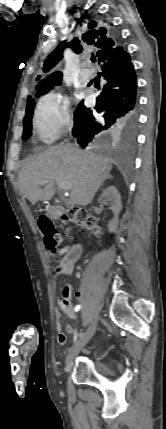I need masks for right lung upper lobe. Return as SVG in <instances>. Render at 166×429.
I'll use <instances>...</instances> for the list:
<instances>
[{"label": "right lung upper lobe", "mask_w": 166, "mask_h": 429, "mask_svg": "<svg viewBox=\"0 0 166 429\" xmlns=\"http://www.w3.org/2000/svg\"><path fill=\"white\" fill-rule=\"evenodd\" d=\"M93 28V27H92ZM82 35V40L88 44H94L97 47L96 56L99 62H104L111 58H115L124 52L122 46L117 45V40L111 38L106 34L103 28L92 29ZM80 40L75 37L70 42H61L54 51L48 55L43 64V71L47 72L52 69L63 57V50L71 48L77 54L82 51V46L79 44ZM40 76H38L39 79ZM62 78L61 72H54L52 75L44 79L41 84H54L59 83ZM38 85V86H39ZM30 96L28 97V99Z\"/></svg>", "instance_id": "1"}]
</instances>
